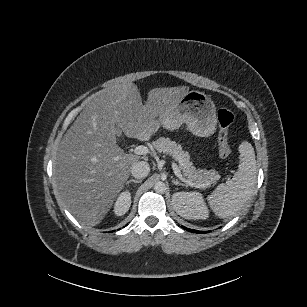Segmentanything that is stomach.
I'll return each instance as SVG.
<instances>
[{"label": "stomach", "mask_w": 307, "mask_h": 307, "mask_svg": "<svg viewBox=\"0 0 307 307\" xmlns=\"http://www.w3.org/2000/svg\"><path fill=\"white\" fill-rule=\"evenodd\" d=\"M186 124L197 136L211 135L216 126L215 105L205 93L190 90L184 94L176 107L161 112L147 122L146 130L155 135L161 129L173 132Z\"/></svg>", "instance_id": "0dacf381"}]
</instances>
